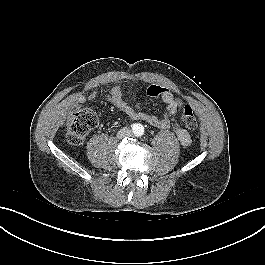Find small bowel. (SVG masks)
<instances>
[{
  "label": "small bowel",
  "instance_id": "1",
  "mask_svg": "<svg viewBox=\"0 0 265 265\" xmlns=\"http://www.w3.org/2000/svg\"><path fill=\"white\" fill-rule=\"evenodd\" d=\"M160 97L165 104V111L158 117L142 111L138 104L135 107L130 106L125 100L124 88L119 84L113 86L106 94V98L129 118L148 123L161 129H168L172 126L181 144L185 146L189 145L191 143V137L188 131L178 121L172 122L171 120V118L179 115L183 102L167 88H164V92ZM87 99L95 100L96 93H91L88 98L84 95H77L75 101L81 104Z\"/></svg>",
  "mask_w": 265,
  "mask_h": 265
}]
</instances>
